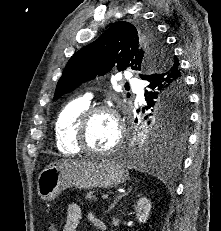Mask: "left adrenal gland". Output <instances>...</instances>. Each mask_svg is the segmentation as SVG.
Segmentation results:
<instances>
[{
	"label": "left adrenal gland",
	"mask_w": 221,
	"mask_h": 231,
	"mask_svg": "<svg viewBox=\"0 0 221 231\" xmlns=\"http://www.w3.org/2000/svg\"><path fill=\"white\" fill-rule=\"evenodd\" d=\"M132 191V188H129L128 189V192L120 195V196H117V198H115V200L113 201V203L109 206L107 212L111 211L115 205L117 204V202H119V200H121L124 196L128 195L130 192Z\"/></svg>",
	"instance_id": "1"
}]
</instances>
